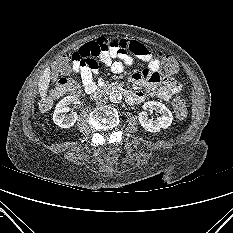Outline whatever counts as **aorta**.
I'll use <instances>...</instances> for the list:
<instances>
[{"instance_id":"obj_1","label":"aorta","mask_w":233,"mask_h":233,"mask_svg":"<svg viewBox=\"0 0 233 233\" xmlns=\"http://www.w3.org/2000/svg\"><path fill=\"white\" fill-rule=\"evenodd\" d=\"M122 99V95L119 91H112L110 93V101L113 103H118Z\"/></svg>"}]
</instances>
